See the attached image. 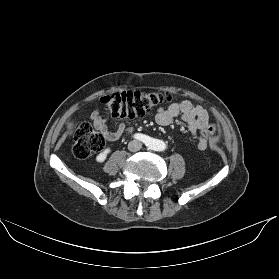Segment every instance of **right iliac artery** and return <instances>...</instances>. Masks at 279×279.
<instances>
[{
  "label": "right iliac artery",
  "mask_w": 279,
  "mask_h": 279,
  "mask_svg": "<svg viewBox=\"0 0 279 279\" xmlns=\"http://www.w3.org/2000/svg\"><path fill=\"white\" fill-rule=\"evenodd\" d=\"M134 138H135V139H138V140H140V141H143V142L147 140L146 136L143 135V134H135V135H134Z\"/></svg>",
  "instance_id": "82829eb1"
}]
</instances>
